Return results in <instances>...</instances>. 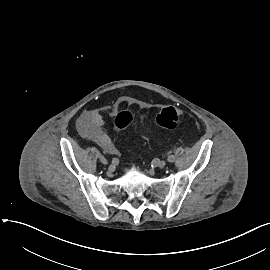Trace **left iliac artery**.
Returning <instances> with one entry per match:
<instances>
[{"instance_id": "left-iliac-artery-1", "label": "left iliac artery", "mask_w": 270, "mask_h": 270, "mask_svg": "<svg viewBox=\"0 0 270 270\" xmlns=\"http://www.w3.org/2000/svg\"><path fill=\"white\" fill-rule=\"evenodd\" d=\"M175 156L174 155H169L168 157H167V160H168V162H174L175 161Z\"/></svg>"}]
</instances>
